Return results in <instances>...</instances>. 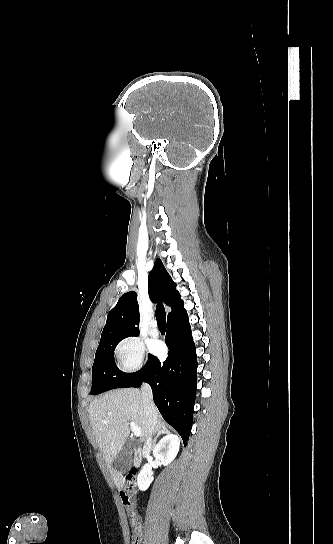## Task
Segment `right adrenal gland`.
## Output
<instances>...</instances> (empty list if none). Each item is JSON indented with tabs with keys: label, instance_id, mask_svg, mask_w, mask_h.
Here are the masks:
<instances>
[{
	"label": "right adrenal gland",
	"instance_id": "obj_1",
	"mask_svg": "<svg viewBox=\"0 0 333 544\" xmlns=\"http://www.w3.org/2000/svg\"><path fill=\"white\" fill-rule=\"evenodd\" d=\"M167 433H169V431L167 430V428H166L165 426H162L161 430L159 431V433L157 434L156 438L154 439L153 446H155L156 441H157V439L159 438L160 435H162V434H167Z\"/></svg>",
	"mask_w": 333,
	"mask_h": 544
}]
</instances>
